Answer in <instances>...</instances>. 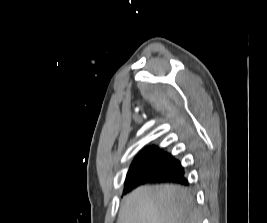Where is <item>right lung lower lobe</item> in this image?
<instances>
[{
	"label": "right lung lower lobe",
	"instance_id": "obj_1",
	"mask_svg": "<svg viewBox=\"0 0 267 223\" xmlns=\"http://www.w3.org/2000/svg\"><path fill=\"white\" fill-rule=\"evenodd\" d=\"M175 182L182 185H188L187 179L184 177V169L181 164L169 173L163 172H138L133 175H127L124 193L132 190L133 188L145 184V183H153V182Z\"/></svg>",
	"mask_w": 267,
	"mask_h": 223
}]
</instances>
